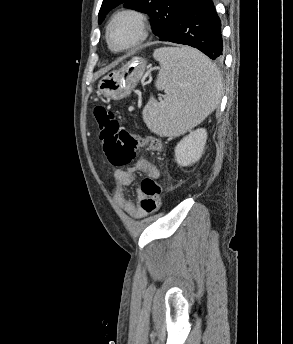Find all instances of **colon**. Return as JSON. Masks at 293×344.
<instances>
[{
    "label": "colon",
    "instance_id": "obj_1",
    "mask_svg": "<svg viewBox=\"0 0 293 344\" xmlns=\"http://www.w3.org/2000/svg\"><path fill=\"white\" fill-rule=\"evenodd\" d=\"M98 123L103 151L110 165L116 168L128 166L135 157L139 145H145L149 152L158 153L162 150V142L155 136L137 137L126 129L120 128L116 113L102 105L93 109ZM144 198L141 209L145 214L157 212L162 205L160 184L147 177L141 183Z\"/></svg>",
    "mask_w": 293,
    "mask_h": 344
}]
</instances>
